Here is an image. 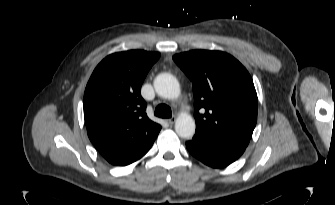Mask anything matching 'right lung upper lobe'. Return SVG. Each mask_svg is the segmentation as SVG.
Here are the masks:
<instances>
[{
  "label": "right lung upper lobe",
  "instance_id": "right-lung-upper-lobe-1",
  "mask_svg": "<svg viewBox=\"0 0 335 205\" xmlns=\"http://www.w3.org/2000/svg\"><path fill=\"white\" fill-rule=\"evenodd\" d=\"M160 53L130 50L103 59L85 89L83 108L88 137L113 165L145 155L161 126L145 113L141 85Z\"/></svg>",
  "mask_w": 335,
  "mask_h": 205
}]
</instances>
